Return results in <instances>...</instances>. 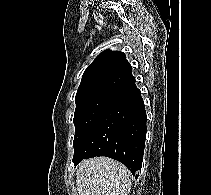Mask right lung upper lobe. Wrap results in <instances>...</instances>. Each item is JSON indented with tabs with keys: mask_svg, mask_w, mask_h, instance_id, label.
<instances>
[{
	"mask_svg": "<svg viewBox=\"0 0 211 195\" xmlns=\"http://www.w3.org/2000/svg\"><path fill=\"white\" fill-rule=\"evenodd\" d=\"M132 83H135V78L125 54L105 50L85 70L77 94L94 90L114 93Z\"/></svg>",
	"mask_w": 211,
	"mask_h": 195,
	"instance_id": "right-lung-upper-lobe-1",
	"label": "right lung upper lobe"
}]
</instances>
